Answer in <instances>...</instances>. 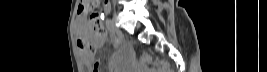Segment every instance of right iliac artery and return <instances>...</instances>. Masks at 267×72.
<instances>
[{"label":"right iliac artery","instance_id":"obj_1","mask_svg":"<svg viewBox=\"0 0 267 72\" xmlns=\"http://www.w3.org/2000/svg\"><path fill=\"white\" fill-rule=\"evenodd\" d=\"M106 26H107L108 30H109L111 33H114V30H115V28H114V24H113V22H112L110 19H108V20L106 21Z\"/></svg>","mask_w":267,"mask_h":72}]
</instances>
